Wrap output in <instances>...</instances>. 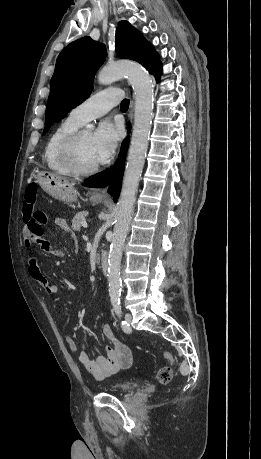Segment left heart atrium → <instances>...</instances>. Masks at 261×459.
Segmentation results:
<instances>
[{
  "label": "left heart atrium",
  "mask_w": 261,
  "mask_h": 459,
  "mask_svg": "<svg viewBox=\"0 0 261 459\" xmlns=\"http://www.w3.org/2000/svg\"><path fill=\"white\" fill-rule=\"evenodd\" d=\"M121 138V128L108 120L103 121L93 134L97 163H106L114 154Z\"/></svg>",
  "instance_id": "39dd6f15"
}]
</instances>
